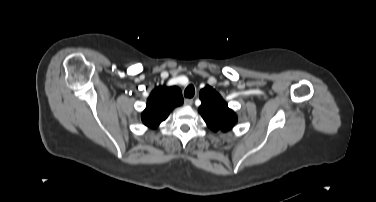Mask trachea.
Wrapping results in <instances>:
<instances>
[{"label": "trachea", "mask_w": 376, "mask_h": 202, "mask_svg": "<svg viewBox=\"0 0 376 202\" xmlns=\"http://www.w3.org/2000/svg\"><path fill=\"white\" fill-rule=\"evenodd\" d=\"M194 94H195V88H194L193 85H189V86L185 89V91H184V96H185L186 98H192V97L194 96Z\"/></svg>", "instance_id": "3493384b"}]
</instances>
